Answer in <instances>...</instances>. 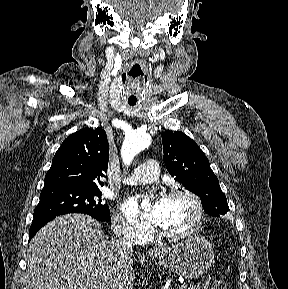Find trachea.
Instances as JSON below:
<instances>
[{"mask_svg": "<svg viewBox=\"0 0 288 289\" xmlns=\"http://www.w3.org/2000/svg\"><path fill=\"white\" fill-rule=\"evenodd\" d=\"M144 75L143 69L138 62H135L128 72V83L126 96L130 105H135L140 94V82Z\"/></svg>", "mask_w": 288, "mask_h": 289, "instance_id": "1", "label": "trachea"}]
</instances>
